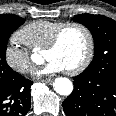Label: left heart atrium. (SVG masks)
<instances>
[{
	"mask_svg": "<svg viewBox=\"0 0 116 116\" xmlns=\"http://www.w3.org/2000/svg\"><path fill=\"white\" fill-rule=\"evenodd\" d=\"M65 70L62 63L55 59H48L45 65L35 72L36 76L50 75Z\"/></svg>",
	"mask_w": 116,
	"mask_h": 116,
	"instance_id": "1",
	"label": "left heart atrium"
}]
</instances>
